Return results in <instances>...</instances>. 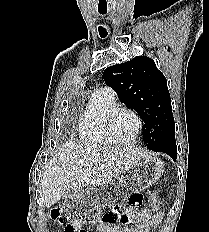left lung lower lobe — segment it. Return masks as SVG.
<instances>
[{"label": "left lung lower lobe", "instance_id": "0a47b994", "mask_svg": "<svg viewBox=\"0 0 209 232\" xmlns=\"http://www.w3.org/2000/svg\"><path fill=\"white\" fill-rule=\"evenodd\" d=\"M164 153L168 154L175 161L177 158V146L176 142H171L169 145H166L164 148Z\"/></svg>", "mask_w": 209, "mask_h": 232}]
</instances>
